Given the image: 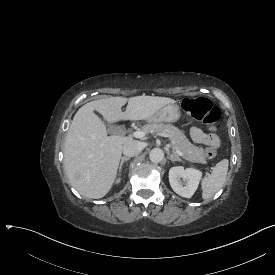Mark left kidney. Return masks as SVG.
<instances>
[{
	"label": "left kidney",
	"mask_w": 275,
	"mask_h": 275,
	"mask_svg": "<svg viewBox=\"0 0 275 275\" xmlns=\"http://www.w3.org/2000/svg\"><path fill=\"white\" fill-rule=\"evenodd\" d=\"M201 177L202 172L193 168L184 169L182 166H176L169 170V182L172 189L178 195L186 198L193 196Z\"/></svg>",
	"instance_id": "5707ae66"
}]
</instances>
